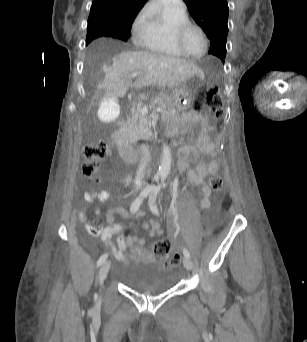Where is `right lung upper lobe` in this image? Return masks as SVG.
Here are the masks:
<instances>
[{"instance_id": "right-lung-upper-lobe-1", "label": "right lung upper lobe", "mask_w": 307, "mask_h": 342, "mask_svg": "<svg viewBox=\"0 0 307 342\" xmlns=\"http://www.w3.org/2000/svg\"><path fill=\"white\" fill-rule=\"evenodd\" d=\"M147 0H93L88 24L112 31L130 32L131 25Z\"/></svg>"}]
</instances>
